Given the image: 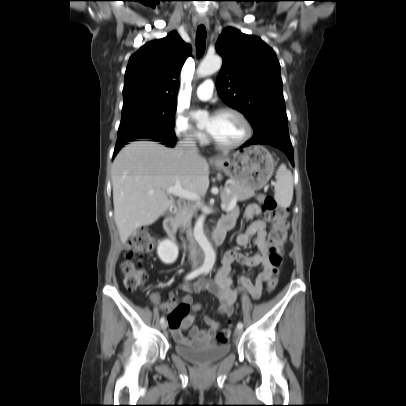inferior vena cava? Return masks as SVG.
Here are the masks:
<instances>
[{
  "label": "inferior vena cava",
  "instance_id": "obj_1",
  "mask_svg": "<svg viewBox=\"0 0 406 406\" xmlns=\"http://www.w3.org/2000/svg\"><path fill=\"white\" fill-rule=\"evenodd\" d=\"M179 151L184 153L186 156H191V157H198L199 156V150L196 146V142L192 138V136H186L184 140L180 141L176 147ZM186 227H187V238L189 241V257L193 261V263H196V258H197V245L196 242L193 238L192 235V230H191V219L188 217L186 220Z\"/></svg>",
  "mask_w": 406,
  "mask_h": 406
}]
</instances>
